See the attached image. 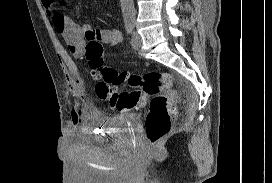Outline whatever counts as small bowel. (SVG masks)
<instances>
[{
  "mask_svg": "<svg viewBox=\"0 0 272 183\" xmlns=\"http://www.w3.org/2000/svg\"><path fill=\"white\" fill-rule=\"evenodd\" d=\"M41 2L56 29L61 33L69 51L76 58L84 55V48L88 42L96 41L113 47L122 40V35L117 30L76 23L62 12L61 3L56 0H41Z\"/></svg>",
  "mask_w": 272,
  "mask_h": 183,
  "instance_id": "1",
  "label": "small bowel"
}]
</instances>
